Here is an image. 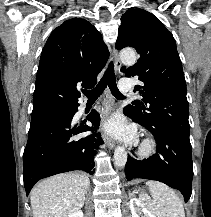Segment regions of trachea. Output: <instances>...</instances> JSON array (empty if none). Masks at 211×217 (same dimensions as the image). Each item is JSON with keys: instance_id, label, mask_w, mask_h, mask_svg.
I'll use <instances>...</instances> for the list:
<instances>
[{"instance_id": "1", "label": "trachea", "mask_w": 211, "mask_h": 217, "mask_svg": "<svg viewBox=\"0 0 211 217\" xmlns=\"http://www.w3.org/2000/svg\"><path fill=\"white\" fill-rule=\"evenodd\" d=\"M109 86L112 94L117 98H123V95L119 92L116 84V77L114 73V64L110 62L106 69L102 79L97 86L92 90L84 91V95L88 98L89 102H94L103 93L105 88Z\"/></svg>"}]
</instances>
